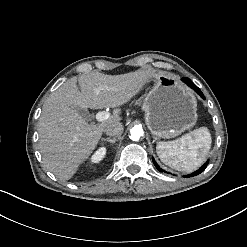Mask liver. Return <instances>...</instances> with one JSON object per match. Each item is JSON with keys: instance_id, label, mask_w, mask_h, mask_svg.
Returning <instances> with one entry per match:
<instances>
[{"instance_id": "obj_1", "label": "liver", "mask_w": 247, "mask_h": 247, "mask_svg": "<svg viewBox=\"0 0 247 247\" xmlns=\"http://www.w3.org/2000/svg\"><path fill=\"white\" fill-rule=\"evenodd\" d=\"M155 75L151 68L121 75L91 72L64 82L46 99L39 118V149L44 166L61 180L72 178L95 149L105 127L121 120L120 110L116 109L102 123L88 124L74 108L119 107Z\"/></svg>"}]
</instances>
